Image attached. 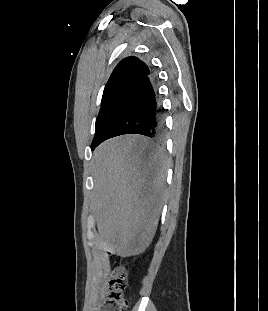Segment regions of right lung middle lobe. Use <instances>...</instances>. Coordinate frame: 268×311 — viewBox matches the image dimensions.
I'll return each mask as SVG.
<instances>
[{
	"label": "right lung middle lobe",
	"mask_w": 268,
	"mask_h": 311,
	"mask_svg": "<svg viewBox=\"0 0 268 311\" xmlns=\"http://www.w3.org/2000/svg\"><path fill=\"white\" fill-rule=\"evenodd\" d=\"M135 87V84L125 85L102 96L101 108L96 119L95 137L91 146L102 138L103 133L131 98Z\"/></svg>",
	"instance_id": "1"
}]
</instances>
